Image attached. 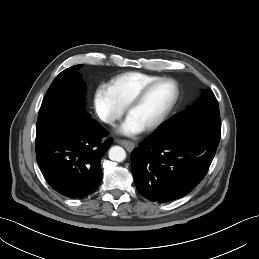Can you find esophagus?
Here are the masks:
<instances>
[{"label":"esophagus","instance_id":"obj_1","mask_svg":"<svg viewBox=\"0 0 259 259\" xmlns=\"http://www.w3.org/2000/svg\"><path fill=\"white\" fill-rule=\"evenodd\" d=\"M116 142L124 146L128 151H132L135 147V144L133 142L127 140H117Z\"/></svg>","mask_w":259,"mask_h":259}]
</instances>
